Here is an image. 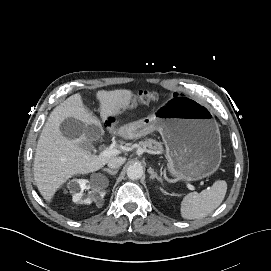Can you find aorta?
I'll list each match as a JSON object with an SVG mask.
<instances>
[{"instance_id":"aorta-1","label":"aorta","mask_w":271,"mask_h":271,"mask_svg":"<svg viewBox=\"0 0 271 271\" xmlns=\"http://www.w3.org/2000/svg\"><path fill=\"white\" fill-rule=\"evenodd\" d=\"M143 173V167L139 164H133L127 168V176L132 180L140 179Z\"/></svg>"}]
</instances>
